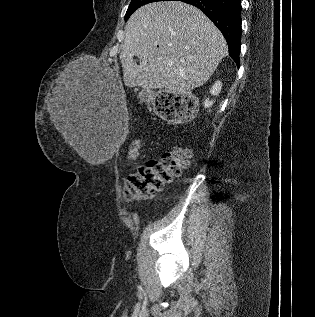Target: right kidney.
<instances>
[{
    "instance_id": "ca27d5eb",
    "label": "right kidney",
    "mask_w": 315,
    "mask_h": 317,
    "mask_svg": "<svg viewBox=\"0 0 315 317\" xmlns=\"http://www.w3.org/2000/svg\"><path fill=\"white\" fill-rule=\"evenodd\" d=\"M222 88V83L217 81L211 88L210 93L212 95L218 96ZM213 101H210L208 98L204 101V107L210 108L213 105Z\"/></svg>"
}]
</instances>
